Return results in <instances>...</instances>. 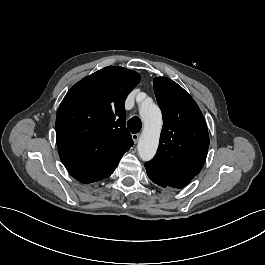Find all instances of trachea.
I'll return each mask as SVG.
<instances>
[{"instance_id": "1", "label": "trachea", "mask_w": 265, "mask_h": 265, "mask_svg": "<svg viewBox=\"0 0 265 265\" xmlns=\"http://www.w3.org/2000/svg\"><path fill=\"white\" fill-rule=\"evenodd\" d=\"M127 127L131 133L133 134L138 133L142 128V123L140 118L137 116L130 118L127 122Z\"/></svg>"}]
</instances>
